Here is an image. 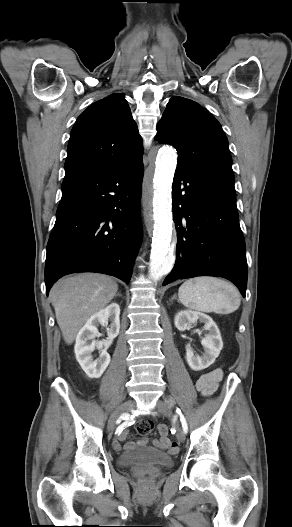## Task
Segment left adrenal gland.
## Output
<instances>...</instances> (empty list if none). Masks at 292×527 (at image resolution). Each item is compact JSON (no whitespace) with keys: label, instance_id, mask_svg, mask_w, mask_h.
Returning a JSON list of instances; mask_svg holds the SVG:
<instances>
[{"label":"left adrenal gland","instance_id":"left-adrenal-gland-1","mask_svg":"<svg viewBox=\"0 0 292 527\" xmlns=\"http://www.w3.org/2000/svg\"><path fill=\"white\" fill-rule=\"evenodd\" d=\"M174 299H177L176 294L171 298V301H173ZM177 300H178V299H177Z\"/></svg>","mask_w":292,"mask_h":527}]
</instances>
